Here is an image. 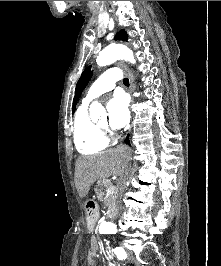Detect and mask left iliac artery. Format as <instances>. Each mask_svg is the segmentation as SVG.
Segmentation results:
<instances>
[{
  "label": "left iliac artery",
  "mask_w": 221,
  "mask_h": 266,
  "mask_svg": "<svg viewBox=\"0 0 221 266\" xmlns=\"http://www.w3.org/2000/svg\"><path fill=\"white\" fill-rule=\"evenodd\" d=\"M114 253L117 255V257L120 260H123L127 257L126 252L124 251V249L122 247H116L114 249Z\"/></svg>",
  "instance_id": "left-iliac-artery-1"
}]
</instances>
